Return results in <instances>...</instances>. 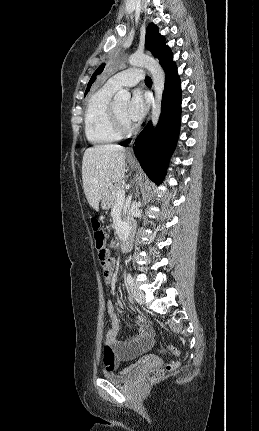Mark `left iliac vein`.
Wrapping results in <instances>:
<instances>
[{
	"instance_id": "obj_1",
	"label": "left iliac vein",
	"mask_w": 259,
	"mask_h": 431,
	"mask_svg": "<svg viewBox=\"0 0 259 431\" xmlns=\"http://www.w3.org/2000/svg\"><path fill=\"white\" fill-rule=\"evenodd\" d=\"M130 290L134 300L139 304H144V301H145L144 293L135 285H132Z\"/></svg>"
}]
</instances>
